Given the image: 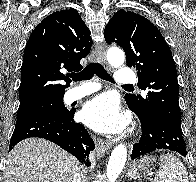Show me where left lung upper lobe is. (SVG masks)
Wrapping results in <instances>:
<instances>
[{"instance_id": "left-lung-upper-lobe-1", "label": "left lung upper lobe", "mask_w": 196, "mask_h": 182, "mask_svg": "<svg viewBox=\"0 0 196 182\" xmlns=\"http://www.w3.org/2000/svg\"><path fill=\"white\" fill-rule=\"evenodd\" d=\"M104 36L108 44L115 42L123 48L127 66L138 71V87L147 91L144 98L127 94L126 102L138 113L157 112L181 125L176 66L157 27L139 14L119 10L106 25Z\"/></svg>"}]
</instances>
